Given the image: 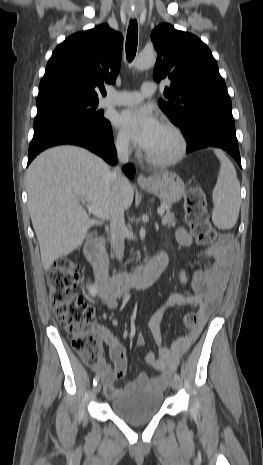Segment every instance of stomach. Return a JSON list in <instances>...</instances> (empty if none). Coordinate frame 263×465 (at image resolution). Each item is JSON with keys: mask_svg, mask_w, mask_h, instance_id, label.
I'll return each mask as SVG.
<instances>
[{"mask_svg": "<svg viewBox=\"0 0 263 465\" xmlns=\"http://www.w3.org/2000/svg\"><path fill=\"white\" fill-rule=\"evenodd\" d=\"M142 188L168 204H174L182 198L185 185L176 173L164 171L152 176L151 184Z\"/></svg>", "mask_w": 263, "mask_h": 465, "instance_id": "1", "label": "stomach"}]
</instances>
